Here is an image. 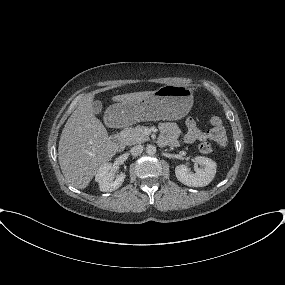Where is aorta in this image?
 <instances>
[{
  "mask_svg": "<svg viewBox=\"0 0 285 285\" xmlns=\"http://www.w3.org/2000/svg\"><path fill=\"white\" fill-rule=\"evenodd\" d=\"M146 153L148 155H154L156 153V147L154 145H147Z\"/></svg>",
  "mask_w": 285,
  "mask_h": 285,
  "instance_id": "aorta-1",
  "label": "aorta"
}]
</instances>
